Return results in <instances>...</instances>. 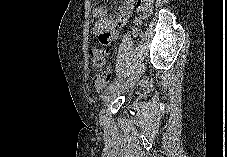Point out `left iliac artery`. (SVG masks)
<instances>
[{
  "instance_id": "obj_1",
  "label": "left iliac artery",
  "mask_w": 227,
  "mask_h": 157,
  "mask_svg": "<svg viewBox=\"0 0 227 157\" xmlns=\"http://www.w3.org/2000/svg\"><path fill=\"white\" fill-rule=\"evenodd\" d=\"M122 81V79L120 80H115L114 82L110 83L108 88H107V91L114 88L116 85H118L120 82Z\"/></svg>"
}]
</instances>
